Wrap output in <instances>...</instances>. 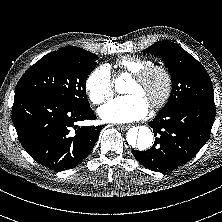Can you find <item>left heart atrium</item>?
I'll return each instance as SVG.
<instances>
[{"label":"left heart atrium","mask_w":222,"mask_h":222,"mask_svg":"<svg viewBox=\"0 0 222 222\" xmlns=\"http://www.w3.org/2000/svg\"><path fill=\"white\" fill-rule=\"evenodd\" d=\"M149 110L148 103L139 94L118 97L99 109V115L108 123H129L144 118Z\"/></svg>","instance_id":"1"}]
</instances>
